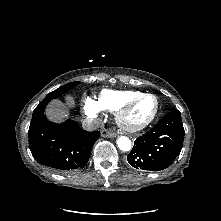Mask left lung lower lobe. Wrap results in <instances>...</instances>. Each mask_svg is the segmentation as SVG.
<instances>
[{
    "label": "left lung lower lobe",
    "mask_w": 221,
    "mask_h": 221,
    "mask_svg": "<svg viewBox=\"0 0 221 221\" xmlns=\"http://www.w3.org/2000/svg\"><path fill=\"white\" fill-rule=\"evenodd\" d=\"M184 134L181 113L174 110L163 116L151 130L137 138L127 160L137 169L163 170L180 154Z\"/></svg>",
    "instance_id": "0a47b994"
}]
</instances>
